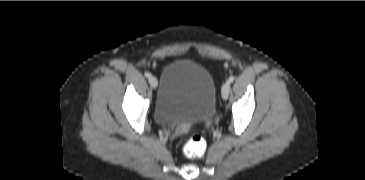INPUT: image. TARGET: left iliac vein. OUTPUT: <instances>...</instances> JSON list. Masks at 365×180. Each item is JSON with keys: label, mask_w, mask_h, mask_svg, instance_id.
Instances as JSON below:
<instances>
[{"label": "left iliac vein", "mask_w": 365, "mask_h": 180, "mask_svg": "<svg viewBox=\"0 0 365 180\" xmlns=\"http://www.w3.org/2000/svg\"><path fill=\"white\" fill-rule=\"evenodd\" d=\"M230 93V83L227 81L223 84L221 89V95L224 100H226Z\"/></svg>", "instance_id": "1"}]
</instances>
